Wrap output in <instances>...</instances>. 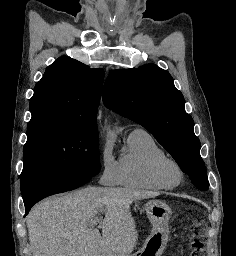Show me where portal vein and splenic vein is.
<instances>
[{
  "mask_svg": "<svg viewBox=\"0 0 236 256\" xmlns=\"http://www.w3.org/2000/svg\"><path fill=\"white\" fill-rule=\"evenodd\" d=\"M101 218H98V216H94V218H91V220H89V224L88 226H90V228H94V226H97L98 222H100Z\"/></svg>",
  "mask_w": 236,
  "mask_h": 256,
  "instance_id": "1",
  "label": "portal vein and splenic vein"
}]
</instances>
